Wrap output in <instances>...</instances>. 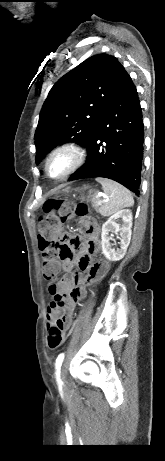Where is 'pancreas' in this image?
Instances as JSON below:
<instances>
[{"instance_id":"1","label":"pancreas","mask_w":165,"mask_h":461,"mask_svg":"<svg viewBox=\"0 0 165 461\" xmlns=\"http://www.w3.org/2000/svg\"><path fill=\"white\" fill-rule=\"evenodd\" d=\"M91 201H92V206H93L97 211H100V208H101V207H99V205L97 204L98 199H97L96 197H93V198L91 199Z\"/></svg>"}]
</instances>
